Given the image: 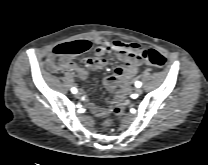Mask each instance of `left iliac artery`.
Wrapping results in <instances>:
<instances>
[{"instance_id":"44dca946","label":"left iliac artery","mask_w":208,"mask_h":165,"mask_svg":"<svg viewBox=\"0 0 208 165\" xmlns=\"http://www.w3.org/2000/svg\"><path fill=\"white\" fill-rule=\"evenodd\" d=\"M141 85H142V83L139 82V81H137V82L135 83V86H136L137 88L141 87Z\"/></svg>"}]
</instances>
